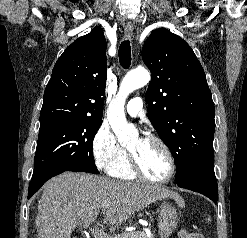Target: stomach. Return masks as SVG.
<instances>
[{"label": "stomach", "instance_id": "1", "mask_svg": "<svg viewBox=\"0 0 247 238\" xmlns=\"http://www.w3.org/2000/svg\"><path fill=\"white\" fill-rule=\"evenodd\" d=\"M178 223L175 208L167 202H163L158 211V228L161 238H168Z\"/></svg>", "mask_w": 247, "mask_h": 238}]
</instances>
